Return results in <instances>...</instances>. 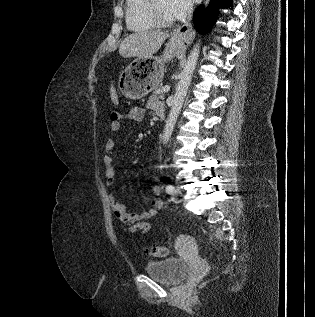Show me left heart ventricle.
Listing matches in <instances>:
<instances>
[{"label": "left heart ventricle", "instance_id": "1", "mask_svg": "<svg viewBox=\"0 0 315 317\" xmlns=\"http://www.w3.org/2000/svg\"><path fill=\"white\" fill-rule=\"evenodd\" d=\"M155 3L162 18L167 20L174 19L168 10L167 0H155Z\"/></svg>", "mask_w": 315, "mask_h": 317}]
</instances>
